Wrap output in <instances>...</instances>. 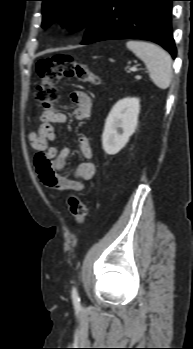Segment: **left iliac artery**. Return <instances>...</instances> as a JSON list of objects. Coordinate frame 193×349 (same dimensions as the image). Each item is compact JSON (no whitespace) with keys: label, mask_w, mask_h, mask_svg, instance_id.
Segmentation results:
<instances>
[{"label":"left iliac artery","mask_w":193,"mask_h":349,"mask_svg":"<svg viewBox=\"0 0 193 349\" xmlns=\"http://www.w3.org/2000/svg\"><path fill=\"white\" fill-rule=\"evenodd\" d=\"M72 300H73L74 306L80 307V298L75 286L72 289Z\"/></svg>","instance_id":"left-iliac-artery-1"}]
</instances>
